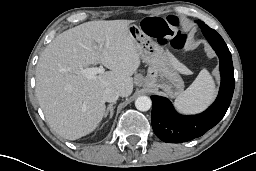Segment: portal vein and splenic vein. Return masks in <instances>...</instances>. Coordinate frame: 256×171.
<instances>
[{"mask_svg":"<svg viewBox=\"0 0 256 171\" xmlns=\"http://www.w3.org/2000/svg\"><path fill=\"white\" fill-rule=\"evenodd\" d=\"M104 72H105L104 67L100 66V67H91V68L81 69L80 71H78V74H81L88 79H93L97 74H101Z\"/></svg>","mask_w":256,"mask_h":171,"instance_id":"portal-vein-and-splenic-vein-1","label":"portal vein and splenic vein"}]
</instances>
